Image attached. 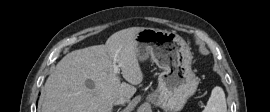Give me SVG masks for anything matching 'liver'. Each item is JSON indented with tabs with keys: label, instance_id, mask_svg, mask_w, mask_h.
<instances>
[{
	"label": "liver",
	"instance_id": "obj_1",
	"mask_svg": "<svg viewBox=\"0 0 270 112\" xmlns=\"http://www.w3.org/2000/svg\"><path fill=\"white\" fill-rule=\"evenodd\" d=\"M143 29L120 30L103 45L63 57L45 83L41 112H112L116 96H124L128 102L137 90L134 85L143 80L135 41ZM113 63L130 84L120 81Z\"/></svg>",
	"mask_w": 270,
	"mask_h": 112
}]
</instances>
